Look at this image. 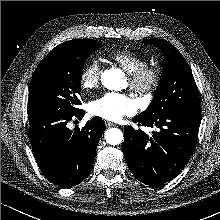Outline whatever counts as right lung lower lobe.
Here are the masks:
<instances>
[{
  "instance_id": "98d812e1",
  "label": "right lung lower lobe",
  "mask_w": 220,
  "mask_h": 220,
  "mask_svg": "<svg viewBox=\"0 0 220 220\" xmlns=\"http://www.w3.org/2000/svg\"><path fill=\"white\" fill-rule=\"evenodd\" d=\"M84 111L28 114L29 139L36 162L52 183L68 188L77 185L90 173L97 144L105 130L103 120L95 117L74 131L67 127L72 117L81 118Z\"/></svg>"
}]
</instances>
